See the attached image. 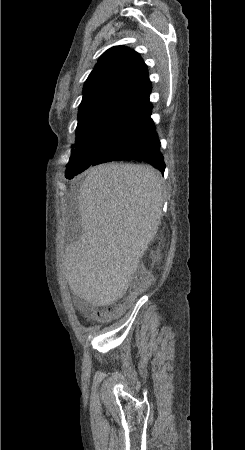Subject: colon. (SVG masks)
<instances>
[{
	"mask_svg": "<svg viewBox=\"0 0 245 450\" xmlns=\"http://www.w3.org/2000/svg\"><path fill=\"white\" fill-rule=\"evenodd\" d=\"M148 286L147 278L141 271H136L128 286L127 296L121 301L119 307L126 308L130 305L135 296L143 292ZM117 315V312L109 309L94 312L92 320L105 321Z\"/></svg>",
	"mask_w": 245,
	"mask_h": 450,
	"instance_id": "1",
	"label": "colon"
}]
</instances>
